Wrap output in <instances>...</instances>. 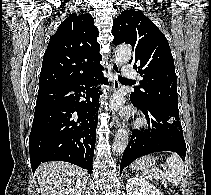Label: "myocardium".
Instances as JSON below:
<instances>
[{
  "label": "myocardium",
  "mask_w": 211,
  "mask_h": 195,
  "mask_svg": "<svg viewBox=\"0 0 211 195\" xmlns=\"http://www.w3.org/2000/svg\"><path fill=\"white\" fill-rule=\"evenodd\" d=\"M138 124H139L140 126H146V125H147V120L144 119V118H142V119H140V120L138 121Z\"/></svg>",
  "instance_id": "f54148a6"
}]
</instances>
